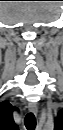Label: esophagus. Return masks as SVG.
<instances>
[{"mask_svg": "<svg viewBox=\"0 0 63 130\" xmlns=\"http://www.w3.org/2000/svg\"><path fill=\"white\" fill-rule=\"evenodd\" d=\"M28 108H29V111L32 112V113H34V114H36L37 111H38L37 105L34 104V103H30L28 105Z\"/></svg>", "mask_w": 63, "mask_h": 130, "instance_id": "34e87169", "label": "esophagus"}]
</instances>
